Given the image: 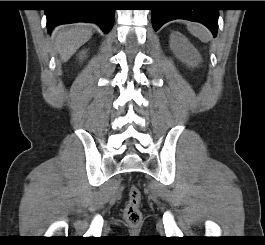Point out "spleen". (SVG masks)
Wrapping results in <instances>:
<instances>
[{
    "mask_svg": "<svg viewBox=\"0 0 265 245\" xmlns=\"http://www.w3.org/2000/svg\"><path fill=\"white\" fill-rule=\"evenodd\" d=\"M187 28L192 35L198 37L202 42H208L210 40V33L203 25L189 24Z\"/></svg>",
    "mask_w": 265,
    "mask_h": 245,
    "instance_id": "spleen-1",
    "label": "spleen"
}]
</instances>
